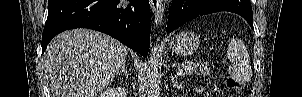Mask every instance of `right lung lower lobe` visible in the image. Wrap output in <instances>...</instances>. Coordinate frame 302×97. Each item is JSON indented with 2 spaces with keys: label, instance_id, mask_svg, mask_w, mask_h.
Segmentation results:
<instances>
[{
  "label": "right lung lower lobe",
  "instance_id": "1",
  "mask_svg": "<svg viewBox=\"0 0 302 97\" xmlns=\"http://www.w3.org/2000/svg\"><path fill=\"white\" fill-rule=\"evenodd\" d=\"M42 53L62 31L89 28L106 33L146 56L150 46L148 0H49Z\"/></svg>",
  "mask_w": 302,
  "mask_h": 97
}]
</instances>
